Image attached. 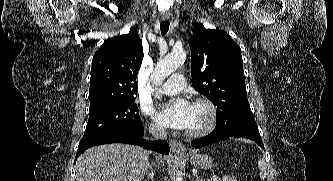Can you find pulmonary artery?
Listing matches in <instances>:
<instances>
[{"label": "pulmonary artery", "instance_id": "obj_1", "mask_svg": "<svg viewBox=\"0 0 333 181\" xmlns=\"http://www.w3.org/2000/svg\"><path fill=\"white\" fill-rule=\"evenodd\" d=\"M185 87V79L181 74H173L162 86L161 92L165 95H175L180 93Z\"/></svg>", "mask_w": 333, "mask_h": 181}]
</instances>
